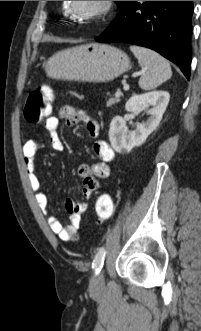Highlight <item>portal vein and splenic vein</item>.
<instances>
[{"instance_id":"1","label":"portal vein and splenic vein","mask_w":201,"mask_h":331,"mask_svg":"<svg viewBox=\"0 0 201 331\" xmlns=\"http://www.w3.org/2000/svg\"><path fill=\"white\" fill-rule=\"evenodd\" d=\"M138 74H141V72H139ZM123 84H124V87H123L124 90H129V85L127 83H125V82ZM120 94H121L120 92H117L116 93V96H120Z\"/></svg>"}]
</instances>
